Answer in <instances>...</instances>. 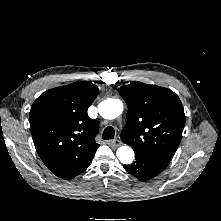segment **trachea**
Returning <instances> with one entry per match:
<instances>
[{
	"instance_id": "trachea-1",
	"label": "trachea",
	"mask_w": 221,
	"mask_h": 221,
	"mask_svg": "<svg viewBox=\"0 0 221 221\" xmlns=\"http://www.w3.org/2000/svg\"><path fill=\"white\" fill-rule=\"evenodd\" d=\"M115 136V130L113 127L108 126L105 128L103 134H102V139L104 140H110L113 139Z\"/></svg>"
}]
</instances>
